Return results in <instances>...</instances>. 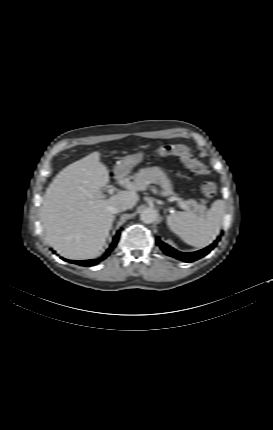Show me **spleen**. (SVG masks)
Returning <instances> with one entry per match:
<instances>
[{
	"mask_svg": "<svg viewBox=\"0 0 273 430\" xmlns=\"http://www.w3.org/2000/svg\"><path fill=\"white\" fill-rule=\"evenodd\" d=\"M224 201L216 200L204 215L177 211L167 217L170 230L185 243L196 248L209 245L220 233Z\"/></svg>",
	"mask_w": 273,
	"mask_h": 430,
	"instance_id": "3e777b00",
	"label": "spleen"
}]
</instances>
